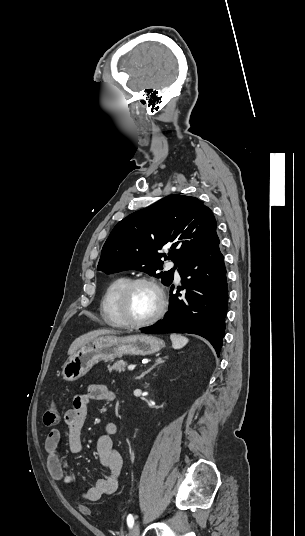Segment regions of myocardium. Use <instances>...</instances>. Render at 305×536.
Masks as SVG:
<instances>
[{"label":"myocardium","instance_id":"myocardium-1","mask_svg":"<svg viewBox=\"0 0 305 536\" xmlns=\"http://www.w3.org/2000/svg\"><path fill=\"white\" fill-rule=\"evenodd\" d=\"M140 284H148L152 286L158 293L160 304L158 309L150 316L139 320L131 321L127 317L126 302L132 289ZM168 306V298L163 289V286L154 278L148 276L135 277L129 279L122 287L117 298V310L120 318L123 321V326L127 328H141L145 327L163 316Z\"/></svg>","mask_w":305,"mask_h":536}]
</instances>
